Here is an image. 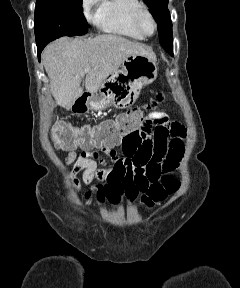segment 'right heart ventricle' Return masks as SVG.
I'll list each match as a JSON object with an SVG mask.
<instances>
[{"label": "right heart ventricle", "mask_w": 240, "mask_h": 288, "mask_svg": "<svg viewBox=\"0 0 240 288\" xmlns=\"http://www.w3.org/2000/svg\"><path fill=\"white\" fill-rule=\"evenodd\" d=\"M140 5V0H102L97 25L106 33L142 40L144 37L132 24L133 12Z\"/></svg>", "instance_id": "1"}]
</instances>
